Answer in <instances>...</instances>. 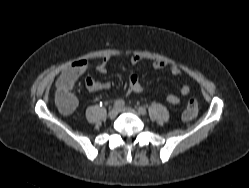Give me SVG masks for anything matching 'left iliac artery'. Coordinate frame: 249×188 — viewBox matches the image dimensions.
Here are the masks:
<instances>
[{"instance_id": "1", "label": "left iliac artery", "mask_w": 249, "mask_h": 188, "mask_svg": "<svg viewBox=\"0 0 249 188\" xmlns=\"http://www.w3.org/2000/svg\"><path fill=\"white\" fill-rule=\"evenodd\" d=\"M139 113H141L142 115H145L147 113L146 109L144 107H139L138 108Z\"/></svg>"}]
</instances>
